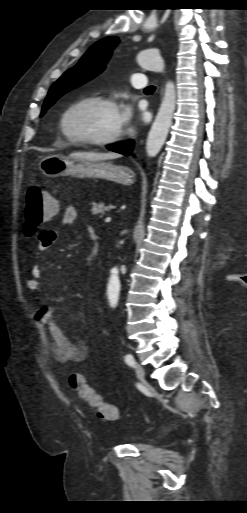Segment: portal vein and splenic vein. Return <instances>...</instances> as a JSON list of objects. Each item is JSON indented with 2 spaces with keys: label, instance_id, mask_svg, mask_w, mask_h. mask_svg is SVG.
Masks as SVG:
<instances>
[{
  "label": "portal vein and splenic vein",
  "instance_id": "18ae733b",
  "mask_svg": "<svg viewBox=\"0 0 247 513\" xmlns=\"http://www.w3.org/2000/svg\"><path fill=\"white\" fill-rule=\"evenodd\" d=\"M110 221H111L110 217H106L105 220H104L105 223H109Z\"/></svg>",
  "mask_w": 247,
  "mask_h": 513
}]
</instances>
